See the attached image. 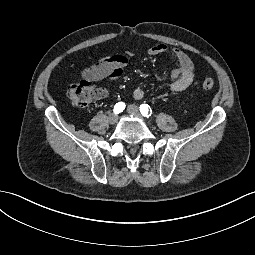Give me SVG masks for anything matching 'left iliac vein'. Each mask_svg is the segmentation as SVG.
Instances as JSON below:
<instances>
[{
    "label": "left iliac vein",
    "instance_id": "4c4485c4",
    "mask_svg": "<svg viewBox=\"0 0 255 255\" xmlns=\"http://www.w3.org/2000/svg\"><path fill=\"white\" fill-rule=\"evenodd\" d=\"M127 111L130 114H133V115H135L137 117H140V112H139V109H138V107L136 105H129L127 107Z\"/></svg>",
    "mask_w": 255,
    "mask_h": 255
}]
</instances>
